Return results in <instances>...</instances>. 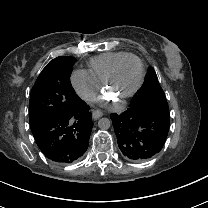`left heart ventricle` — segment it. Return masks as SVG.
Segmentation results:
<instances>
[{
  "label": "left heart ventricle",
  "mask_w": 208,
  "mask_h": 208,
  "mask_svg": "<svg viewBox=\"0 0 208 208\" xmlns=\"http://www.w3.org/2000/svg\"><path fill=\"white\" fill-rule=\"evenodd\" d=\"M140 78V66L136 59L127 58L117 68L109 87L110 95L120 98L131 92Z\"/></svg>",
  "instance_id": "1"
}]
</instances>
